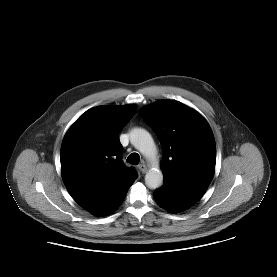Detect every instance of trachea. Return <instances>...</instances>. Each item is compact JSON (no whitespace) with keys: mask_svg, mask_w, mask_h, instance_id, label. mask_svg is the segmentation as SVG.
Masks as SVG:
<instances>
[{"mask_svg":"<svg viewBox=\"0 0 277 277\" xmlns=\"http://www.w3.org/2000/svg\"><path fill=\"white\" fill-rule=\"evenodd\" d=\"M127 162L132 165H137L140 162V156L137 153H132L128 156Z\"/></svg>","mask_w":277,"mask_h":277,"instance_id":"trachea-1","label":"trachea"}]
</instances>
